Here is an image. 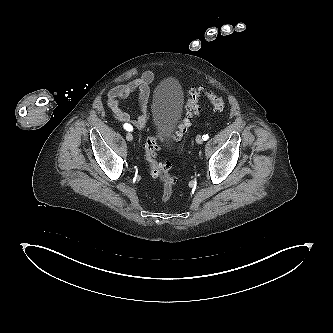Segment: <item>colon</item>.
Returning <instances> with one entry per match:
<instances>
[{"instance_id":"1","label":"colon","mask_w":333,"mask_h":333,"mask_svg":"<svg viewBox=\"0 0 333 333\" xmlns=\"http://www.w3.org/2000/svg\"><path fill=\"white\" fill-rule=\"evenodd\" d=\"M201 98L208 99L212 107L217 111H222L225 108V101L221 96L211 93L204 88H192L185 106V119L173 134L175 140H180L189 121L199 113ZM144 147L149 174L153 179L161 182L163 186L161 199L167 201L170 199L173 187L176 184V178L170 174L171 164L169 162L157 161V153L160 148V139L157 137L149 136Z\"/></svg>"}]
</instances>
